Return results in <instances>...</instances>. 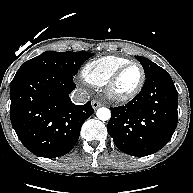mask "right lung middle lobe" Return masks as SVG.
<instances>
[{
    "mask_svg": "<svg viewBox=\"0 0 193 193\" xmlns=\"http://www.w3.org/2000/svg\"><path fill=\"white\" fill-rule=\"evenodd\" d=\"M94 54L89 52H54L46 51L26 61L15 76L32 72H45L66 76L73 79L81 65Z\"/></svg>",
    "mask_w": 193,
    "mask_h": 193,
    "instance_id": "1",
    "label": "right lung middle lobe"
}]
</instances>
